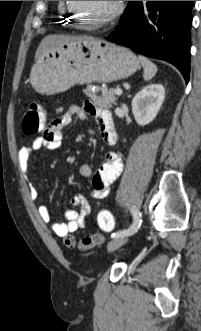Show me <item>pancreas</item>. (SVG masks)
Masks as SVG:
<instances>
[{"instance_id": "obj_1", "label": "pancreas", "mask_w": 201, "mask_h": 331, "mask_svg": "<svg viewBox=\"0 0 201 331\" xmlns=\"http://www.w3.org/2000/svg\"><path fill=\"white\" fill-rule=\"evenodd\" d=\"M93 85L88 84L83 92L98 106L102 108H111L113 104H116L117 97L115 96L114 91L116 89L111 88L105 92L102 96L98 95V88L95 91H92Z\"/></svg>"}]
</instances>
